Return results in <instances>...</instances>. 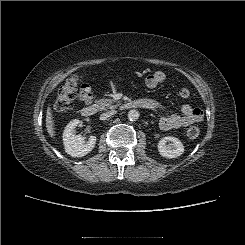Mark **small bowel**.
Segmentation results:
<instances>
[{"label":"small bowel","mask_w":245,"mask_h":245,"mask_svg":"<svg viewBox=\"0 0 245 245\" xmlns=\"http://www.w3.org/2000/svg\"><path fill=\"white\" fill-rule=\"evenodd\" d=\"M165 79V75L161 71H156L149 74L146 77V85L149 88H157ZM93 94L89 85L85 84L84 89L79 94V99L83 102L90 103L92 101ZM142 107L153 109L162 113L160 118V128L162 130H171L181 127L189 126L193 123L199 122L203 119V111L198 107H194L190 104H184L181 107V115L178 114H166L165 107L156 100L153 99H140Z\"/></svg>","instance_id":"obj_1"}]
</instances>
